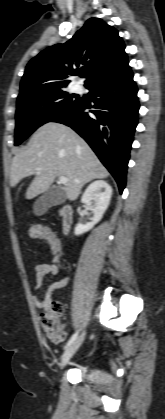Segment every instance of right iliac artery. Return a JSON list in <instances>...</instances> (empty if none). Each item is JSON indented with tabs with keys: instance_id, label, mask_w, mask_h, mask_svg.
Returning a JSON list of instances; mask_svg holds the SVG:
<instances>
[{
	"instance_id": "82829eb1",
	"label": "right iliac artery",
	"mask_w": 165,
	"mask_h": 419,
	"mask_svg": "<svg viewBox=\"0 0 165 419\" xmlns=\"http://www.w3.org/2000/svg\"><path fill=\"white\" fill-rule=\"evenodd\" d=\"M77 336H78V331L75 334L72 335V337L67 342L65 348H67L68 346H70L76 340Z\"/></svg>"
}]
</instances>
